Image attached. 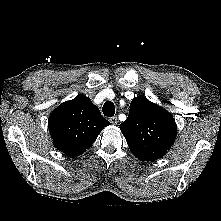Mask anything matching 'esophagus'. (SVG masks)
Instances as JSON below:
<instances>
[{"label": "esophagus", "instance_id": "esophagus-1", "mask_svg": "<svg viewBox=\"0 0 221 221\" xmlns=\"http://www.w3.org/2000/svg\"><path fill=\"white\" fill-rule=\"evenodd\" d=\"M110 122L112 124H117L118 123V118L116 116H113V117L110 118Z\"/></svg>", "mask_w": 221, "mask_h": 221}]
</instances>
